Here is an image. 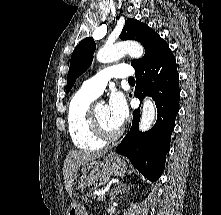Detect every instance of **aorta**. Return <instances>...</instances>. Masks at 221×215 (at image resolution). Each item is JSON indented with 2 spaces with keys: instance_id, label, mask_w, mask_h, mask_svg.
Returning <instances> with one entry per match:
<instances>
[{
  "instance_id": "762f6f07",
  "label": "aorta",
  "mask_w": 221,
  "mask_h": 215,
  "mask_svg": "<svg viewBox=\"0 0 221 215\" xmlns=\"http://www.w3.org/2000/svg\"><path fill=\"white\" fill-rule=\"evenodd\" d=\"M129 54L133 58H141L144 55V48L137 42H120L112 46H106L97 53V60L101 63L117 61ZM156 115V108L151 98L146 97L142 105V114L139 123L140 131L150 129Z\"/></svg>"
}]
</instances>
